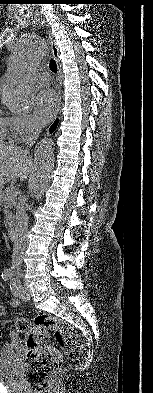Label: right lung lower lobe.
I'll return each instance as SVG.
<instances>
[{
	"label": "right lung lower lobe",
	"instance_id": "right-lung-lower-lobe-1",
	"mask_svg": "<svg viewBox=\"0 0 153 393\" xmlns=\"http://www.w3.org/2000/svg\"><path fill=\"white\" fill-rule=\"evenodd\" d=\"M57 123H58V121H56V122L51 126L50 132L54 131V129H55L56 126H57Z\"/></svg>",
	"mask_w": 153,
	"mask_h": 393
}]
</instances>
